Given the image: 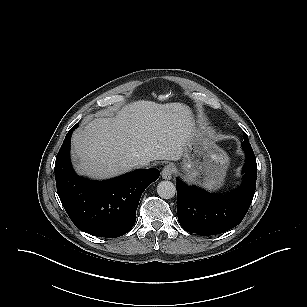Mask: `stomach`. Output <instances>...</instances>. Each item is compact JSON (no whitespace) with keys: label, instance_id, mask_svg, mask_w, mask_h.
<instances>
[{"label":"stomach","instance_id":"obj_1","mask_svg":"<svg viewBox=\"0 0 307 307\" xmlns=\"http://www.w3.org/2000/svg\"><path fill=\"white\" fill-rule=\"evenodd\" d=\"M183 157L181 170L188 182L211 191L223 185L229 157L212 141L209 132L193 127V137Z\"/></svg>","mask_w":307,"mask_h":307}]
</instances>
